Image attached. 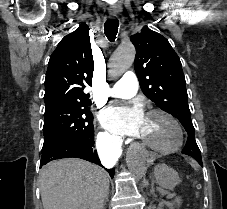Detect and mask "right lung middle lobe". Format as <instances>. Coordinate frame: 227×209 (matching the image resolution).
I'll return each mask as SVG.
<instances>
[{
	"label": "right lung middle lobe",
	"mask_w": 227,
	"mask_h": 209,
	"mask_svg": "<svg viewBox=\"0 0 227 209\" xmlns=\"http://www.w3.org/2000/svg\"><path fill=\"white\" fill-rule=\"evenodd\" d=\"M90 99L55 98L45 103L43 148L74 138H93Z\"/></svg>",
	"instance_id": "dd1d6c3e"
}]
</instances>
